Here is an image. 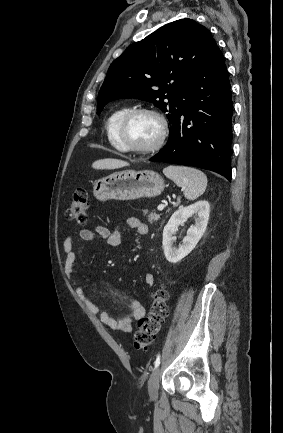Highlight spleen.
<instances>
[{
  "label": "spleen",
  "instance_id": "3e777b00",
  "mask_svg": "<svg viewBox=\"0 0 283 433\" xmlns=\"http://www.w3.org/2000/svg\"><path fill=\"white\" fill-rule=\"evenodd\" d=\"M163 172L167 178L174 180L178 186H186L184 194L189 200H195L197 196L205 192L208 180L202 170L191 168V166L169 164V166L163 168Z\"/></svg>",
  "mask_w": 283,
  "mask_h": 433
}]
</instances>
